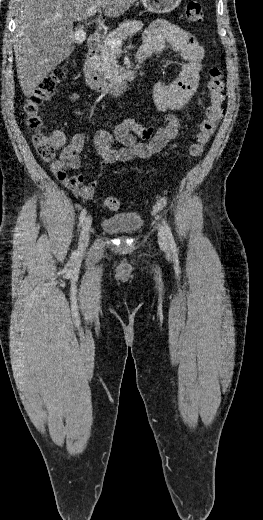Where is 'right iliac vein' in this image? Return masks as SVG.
<instances>
[{"mask_svg":"<svg viewBox=\"0 0 263 520\" xmlns=\"http://www.w3.org/2000/svg\"><path fill=\"white\" fill-rule=\"evenodd\" d=\"M92 224V218L91 216H87L84 220L80 239H79V251L80 253H83L86 250V247L88 246L89 241V232Z\"/></svg>","mask_w":263,"mask_h":520,"instance_id":"1","label":"right iliac vein"}]
</instances>
